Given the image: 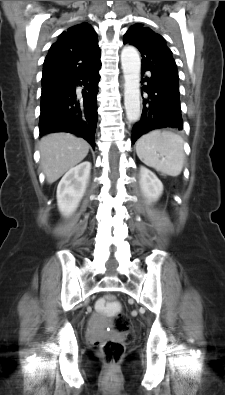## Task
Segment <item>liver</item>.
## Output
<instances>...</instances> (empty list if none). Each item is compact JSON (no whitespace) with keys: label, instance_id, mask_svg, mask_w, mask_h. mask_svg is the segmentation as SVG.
<instances>
[{"label":"liver","instance_id":"6515ba94","mask_svg":"<svg viewBox=\"0 0 225 395\" xmlns=\"http://www.w3.org/2000/svg\"><path fill=\"white\" fill-rule=\"evenodd\" d=\"M89 144L69 133L43 137L39 144L40 165L49 184L80 163L89 152Z\"/></svg>","mask_w":225,"mask_h":395}]
</instances>
